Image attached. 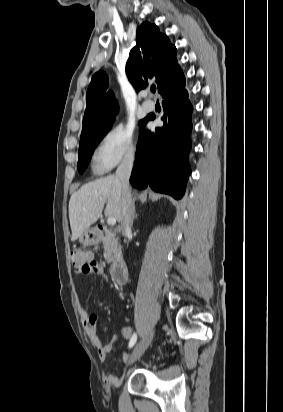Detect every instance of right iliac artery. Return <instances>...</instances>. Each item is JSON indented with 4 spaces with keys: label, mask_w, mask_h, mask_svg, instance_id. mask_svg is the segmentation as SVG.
<instances>
[{
    "label": "right iliac artery",
    "mask_w": 283,
    "mask_h": 412,
    "mask_svg": "<svg viewBox=\"0 0 283 412\" xmlns=\"http://www.w3.org/2000/svg\"><path fill=\"white\" fill-rule=\"evenodd\" d=\"M137 341V335L134 333L129 342V348H132Z\"/></svg>",
    "instance_id": "obj_1"
}]
</instances>
